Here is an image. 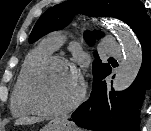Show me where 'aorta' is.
<instances>
[{
    "label": "aorta",
    "mask_w": 151,
    "mask_h": 131,
    "mask_svg": "<svg viewBox=\"0 0 151 131\" xmlns=\"http://www.w3.org/2000/svg\"><path fill=\"white\" fill-rule=\"evenodd\" d=\"M110 28L118 37L124 56L113 80V88L119 92L127 89L135 80L142 64V49L126 25L114 22Z\"/></svg>",
    "instance_id": "obj_1"
}]
</instances>
